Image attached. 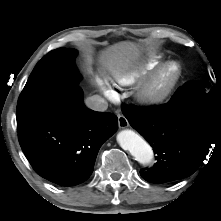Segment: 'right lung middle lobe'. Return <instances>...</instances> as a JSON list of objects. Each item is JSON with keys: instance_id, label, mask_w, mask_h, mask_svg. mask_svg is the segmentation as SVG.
I'll use <instances>...</instances> for the list:
<instances>
[{"instance_id": "obj_1", "label": "right lung middle lobe", "mask_w": 221, "mask_h": 221, "mask_svg": "<svg viewBox=\"0 0 221 221\" xmlns=\"http://www.w3.org/2000/svg\"><path fill=\"white\" fill-rule=\"evenodd\" d=\"M76 55L75 49L59 48L38 62L18 100V129L38 120L60 97L78 85L81 76L74 64Z\"/></svg>"}]
</instances>
